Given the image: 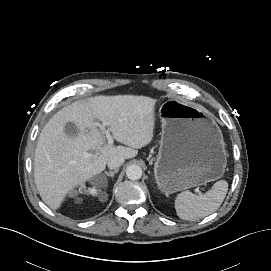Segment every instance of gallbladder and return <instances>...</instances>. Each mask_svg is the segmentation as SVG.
<instances>
[{
	"label": "gallbladder",
	"mask_w": 271,
	"mask_h": 271,
	"mask_svg": "<svg viewBox=\"0 0 271 271\" xmlns=\"http://www.w3.org/2000/svg\"><path fill=\"white\" fill-rule=\"evenodd\" d=\"M65 133L69 136H76L78 133V129L74 123L69 122L65 126Z\"/></svg>",
	"instance_id": "bac80fb5"
}]
</instances>
